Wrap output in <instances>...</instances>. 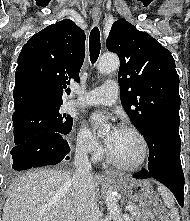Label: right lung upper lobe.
<instances>
[{"mask_svg":"<svg viewBox=\"0 0 190 221\" xmlns=\"http://www.w3.org/2000/svg\"><path fill=\"white\" fill-rule=\"evenodd\" d=\"M85 34L73 21L62 20L32 36L23 46L15 73L14 113L44 104H62L70 79L80 80ZM69 94V89L66 90Z\"/></svg>","mask_w":190,"mask_h":221,"instance_id":"right-lung-upper-lobe-1","label":"right lung upper lobe"}]
</instances>
